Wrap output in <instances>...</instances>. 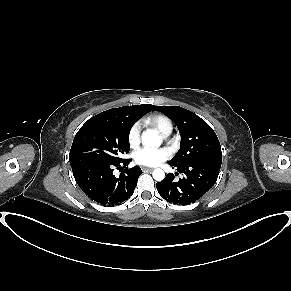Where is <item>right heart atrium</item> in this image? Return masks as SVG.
Masks as SVG:
<instances>
[{"mask_svg":"<svg viewBox=\"0 0 291 291\" xmlns=\"http://www.w3.org/2000/svg\"><path fill=\"white\" fill-rule=\"evenodd\" d=\"M141 123L140 122H135L132 124L128 131V143L130 144L131 147L136 146L139 141H140V136H141Z\"/></svg>","mask_w":291,"mask_h":291,"instance_id":"1","label":"right heart atrium"}]
</instances>
